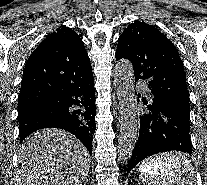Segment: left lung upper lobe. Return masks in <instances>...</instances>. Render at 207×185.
Instances as JSON below:
<instances>
[{
	"instance_id": "obj_1",
	"label": "left lung upper lobe",
	"mask_w": 207,
	"mask_h": 185,
	"mask_svg": "<svg viewBox=\"0 0 207 185\" xmlns=\"http://www.w3.org/2000/svg\"><path fill=\"white\" fill-rule=\"evenodd\" d=\"M126 58L135 80L147 81L151 94L190 115L184 66L173 43L156 27L142 21L129 24L118 39L116 60Z\"/></svg>"
}]
</instances>
